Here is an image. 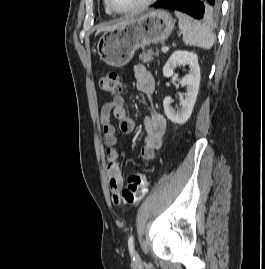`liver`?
Instances as JSON below:
<instances>
[{"label":"liver","instance_id":"1","mask_svg":"<svg viewBox=\"0 0 265 269\" xmlns=\"http://www.w3.org/2000/svg\"><path fill=\"white\" fill-rule=\"evenodd\" d=\"M128 20H123L120 21L114 25H110V26H102L100 28H98L96 35H98L99 33L103 32V31H110V30H114L117 29L119 27H122L123 25H125L127 23Z\"/></svg>","mask_w":265,"mask_h":269}]
</instances>
